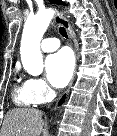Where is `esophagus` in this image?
<instances>
[{"mask_svg": "<svg viewBox=\"0 0 117 136\" xmlns=\"http://www.w3.org/2000/svg\"><path fill=\"white\" fill-rule=\"evenodd\" d=\"M54 19L55 21L58 23V24H61L67 31L68 35L71 37V38H74L75 36V33L70 25V23L68 22V20H66L65 18H63L58 12L55 13L54 15ZM74 77L75 75L73 76L67 90L61 95V97L58 99L56 105H55V108H59L63 105V103L66 101L68 95H69V92H70V88L72 87V84H73V81H74Z\"/></svg>", "mask_w": 117, "mask_h": 136, "instance_id": "1", "label": "esophagus"}]
</instances>
